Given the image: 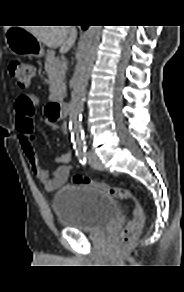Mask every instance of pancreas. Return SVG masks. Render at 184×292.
Listing matches in <instances>:
<instances>
[{"instance_id":"obj_1","label":"pancreas","mask_w":184,"mask_h":292,"mask_svg":"<svg viewBox=\"0 0 184 292\" xmlns=\"http://www.w3.org/2000/svg\"><path fill=\"white\" fill-rule=\"evenodd\" d=\"M62 63L63 61L55 57L53 50L47 51L45 71L49 77V90L53 96L58 98H61L66 90L64 83L66 69L62 68Z\"/></svg>"}]
</instances>
